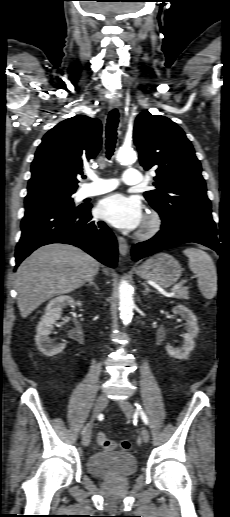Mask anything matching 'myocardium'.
<instances>
[{"mask_svg": "<svg viewBox=\"0 0 230 517\" xmlns=\"http://www.w3.org/2000/svg\"><path fill=\"white\" fill-rule=\"evenodd\" d=\"M161 226L162 218L160 214L155 210H150L144 218L138 235L142 239L151 238L159 232Z\"/></svg>", "mask_w": 230, "mask_h": 517, "instance_id": "f54148a6", "label": "myocardium"}]
</instances>
